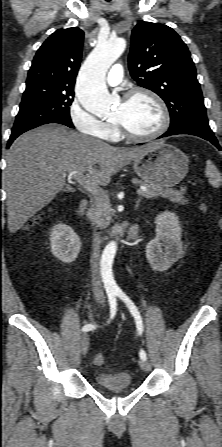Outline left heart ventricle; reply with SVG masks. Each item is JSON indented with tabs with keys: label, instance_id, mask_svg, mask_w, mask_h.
<instances>
[{
	"label": "left heart ventricle",
	"instance_id": "b2bd125f",
	"mask_svg": "<svg viewBox=\"0 0 222 447\" xmlns=\"http://www.w3.org/2000/svg\"><path fill=\"white\" fill-rule=\"evenodd\" d=\"M131 132L146 135L156 131L161 124V113L152 99L138 95L129 101H122L114 114Z\"/></svg>",
	"mask_w": 222,
	"mask_h": 447
}]
</instances>
